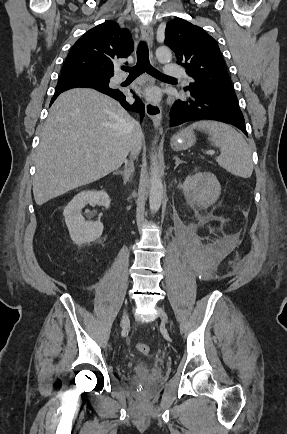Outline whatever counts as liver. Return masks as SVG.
I'll list each match as a JSON object with an SVG mask.
<instances>
[{
	"label": "liver",
	"instance_id": "6515ba94",
	"mask_svg": "<svg viewBox=\"0 0 287 434\" xmlns=\"http://www.w3.org/2000/svg\"><path fill=\"white\" fill-rule=\"evenodd\" d=\"M134 119L116 100L71 89L50 108L37 151V205L117 170L131 151Z\"/></svg>",
	"mask_w": 287,
	"mask_h": 434
}]
</instances>
